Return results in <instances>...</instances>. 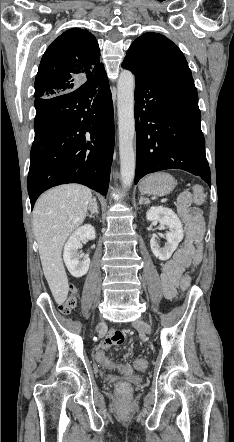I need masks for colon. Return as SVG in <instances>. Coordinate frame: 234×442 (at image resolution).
I'll use <instances>...</instances> for the list:
<instances>
[{"label": "colon", "instance_id": "5ec220e1", "mask_svg": "<svg viewBox=\"0 0 234 442\" xmlns=\"http://www.w3.org/2000/svg\"><path fill=\"white\" fill-rule=\"evenodd\" d=\"M193 196L194 201L197 205H201L205 200V192L200 185H195L193 187ZM195 262L193 263V266L195 268H198L200 264L203 262V256L200 254V250L197 251V253L194 256ZM191 281L190 277L188 275H185L181 281V288L182 290H187L190 287ZM78 303V297H77V289L76 287L72 286L70 290V295L65 300V302L59 307L60 312L64 315H69L77 306ZM95 359L103 364L106 367L112 368L116 370L117 372L121 374H129L132 371V366L129 365V362L127 360L119 362H113L108 356L105 348L100 347L94 352ZM135 367L137 369H143L146 365L145 361L143 359H139L135 361ZM116 387L119 389L120 392L126 393L131 387L130 380H118L116 382Z\"/></svg>", "mask_w": 234, "mask_h": 442}]
</instances>
